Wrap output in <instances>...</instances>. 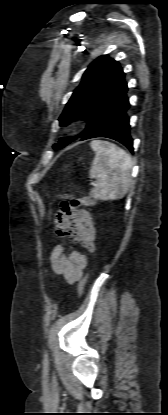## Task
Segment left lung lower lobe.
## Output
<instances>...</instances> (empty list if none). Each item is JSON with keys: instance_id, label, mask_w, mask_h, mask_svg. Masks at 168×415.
<instances>
[{"instance_id": "0a47b994", "label": "left lung lower lobe", "mask_w": 168, "mask_h": 415, "mask_svg": "<svg viewBox=\"0 0 168 415\" xmlns=\"http://www.w3.org/2000/svg\"><path fill=\"white\" fill-rule=\"evenodd\" d=\"M127 90L126 88L119 93L104 107L84 132L81 140L96 137L111 138L122 143L133 152V140L130 136L129 116L127 114L130 107Z\"/></svg>"}]
</instances>
